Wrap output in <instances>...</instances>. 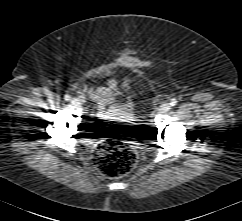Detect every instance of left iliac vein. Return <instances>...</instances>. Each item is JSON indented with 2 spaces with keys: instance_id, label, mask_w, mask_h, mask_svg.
<instances>
[{
  "instance_id": "left-iliac-vein-1",
  "label": "left iliac vein",
  "mask_w": 242,
  "mask_h": 221,
  "mask_svg": "<svg viewBox=\"0 0 242 221\" xmlns=\"http://www.w3.org/2000/svg\"><path fill=\"white\" fill-rule=\"evenodd\" d=\"M169 108H170V105H169V104H167V103L162 104V105L160 106V108L158 109V112H159V113H165L166 111L169 110Z\"/></svg>"
}]
</instances>
